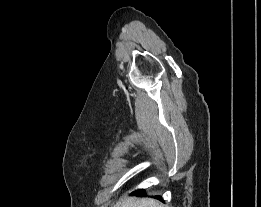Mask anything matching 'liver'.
<instances>
[{
  "label": "liver",
  "instance_id": "liver-1",
  "mask_svg": "<svg viewBox=\"0 0 261 207\" xmlns=\"http://www.w3.org/2000/svg\"><path fill=\"white\" fill-rule=\"evenodd\" d=\"M120 207H163L158 201L151 198H128Z\"/></svg>",
  "mask_w": 261,
  "mask_h": 207
}]
</instances>
